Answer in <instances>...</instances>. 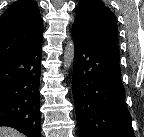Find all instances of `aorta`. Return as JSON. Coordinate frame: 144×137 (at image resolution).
Returning <instances> with one entry per match:
<instances>
[{"instance_id": "obj_1", "label": "aorta", "mask_w": 144, "mask_h": 137, "mask_svg": "<svg viewBox=\"0 0 144 137\" xmlns=\"http://www.w3.org/2000/svg\"><path fill=\"white\" fill-rule=\"evenodd\" d=\"M75 56V46L73 40H69L64 49L63 67L65 70L69 69L73 65Z\"/></svg>"}]
</instances>
